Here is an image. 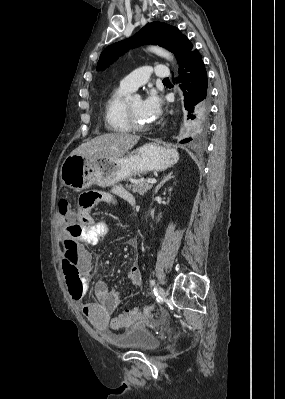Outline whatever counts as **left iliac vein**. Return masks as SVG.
<instances>
[{"instance_id": "4c4485c4", "label": "left iliac vein", "mask_w": 285, "mask_h": 399, "mask_svg": "<svg viewBox=\"0 0 285 399\" xmlns=\"http://www.w3.org/2000/svg\"><path fill=\"white\" fill-rule=\"evenodd\" d=\"M158 294H159V297H160L161 300L165 299V291H164V289L162 287L158 288Z\"/></svg>"}]
</instances>
